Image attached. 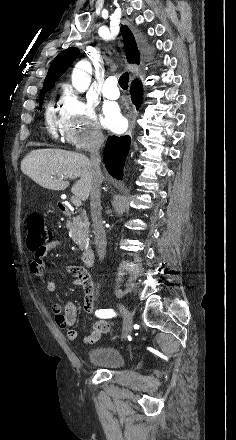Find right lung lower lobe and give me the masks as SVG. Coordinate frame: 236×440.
Wrapping results in <instances>:
<instances>
[{
  "instance_id": "98d812e1",
  "label": "right lung lower lobe",
  "mask_w": 236,
  "mask_h": 440,
  "mask_svg": "<svg viewBox=\"0 0 236 440\" xmlns=\"http://www.w3.org/2000/svg\"><path fill=\"white\" fill-rule=\"evenodd\" d=\"M142 52L146 55L150 54L148 46H144ZM143 87L139 80H135L131 84L130 94L132 102L136 109H139L142 102ZM130 146L129 136H110L104 149V158L107 171L116 179L122 180L123 168Z\"/></svg>"
}]
</instances>
